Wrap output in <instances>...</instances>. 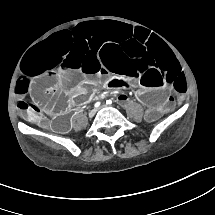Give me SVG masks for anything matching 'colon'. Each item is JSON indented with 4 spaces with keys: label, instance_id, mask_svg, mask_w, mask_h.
Wrapping results in <instances>:
<instances>
[{
    "label": "colon",
    "instance_id": "colon-1",
    "mask_svg": "<svg viewBox=\"0 0 215 215\" xmlns=\"http://www.w3.org/2000/svg\"><path fill=\"white\" fill-rule=\"evenodd\" d=\"M55 100L56 94L51 91H48L40 104L46 111H51ZM18 109L29 119L37 117L39 111V108L36 104L29 103L26 101H20L18 103Z\"/></svg>",
    "mask_w": 215,
    "mask_h": 215
}]
</instances>
